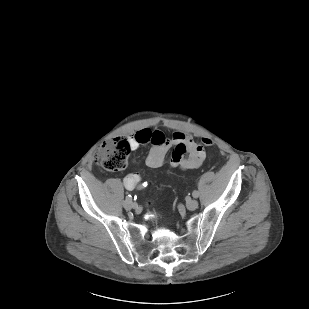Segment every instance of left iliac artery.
Returning a JSON list of instances; mask_svg holds the SVG:
<instances>
[{
    "label": "left iliac artery",
    "mask_w": 309,
    "mask_h": 309,
    "mask_svg": "<svg viewBox=\"0 0 309 309\" xmlns=\"http://www.w3.org/2000/svg\"><path fill=\"white\" fill-rule=\"evenodd\" d=\"M192 196H193L194 198H198L199 192H198V191H193Z\"/></svg>",
    "instance_id": "obj_1"
}]
</instances>
